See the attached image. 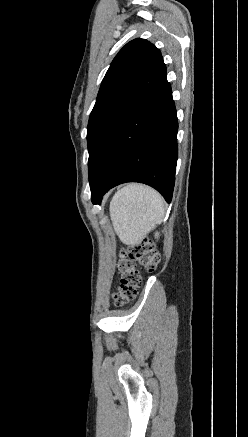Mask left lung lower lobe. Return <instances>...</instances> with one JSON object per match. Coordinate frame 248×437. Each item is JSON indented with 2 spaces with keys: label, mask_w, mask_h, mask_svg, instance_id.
I'll use <instances>...</instances> for the list:
<instances>
[{
  "label": "left lung lower lobe",
  "mask_w": 248,
  "mask_h": 437,
  "mask_svg": "<svg viewBox=\"0 0 248 437\" xmlns=\"http://www.w3.org/2000/svg\"><path fill=\"white\" fill-rule=\"evenodd\" d=\"M178 121L172 90L165 80L123 123L106 150L90 184L91 199L100 203L114 186L140 182L172 199Z\"/></svg>",
  "instance_id": "0a47b994"
}]
</instances>
